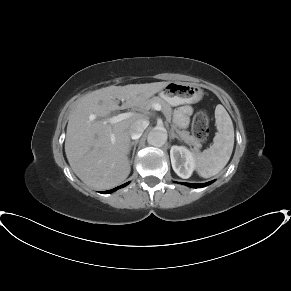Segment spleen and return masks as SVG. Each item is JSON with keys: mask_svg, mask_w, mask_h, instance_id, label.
<instances>
[{"mask_svg": "<svg viewBox=\"0 0 291 291\" xmlns=\"http://www.w3.org/2000/svg\"><path fill=\"white\" fill-rule=\"evenodd\" d=\"M217 134L213 145L203 152L195 150L196 169L203 178L218 174L228 163L234 146V127L225 108L218 104L215 109Z\"/></svg>", "mask_w": 291, "mask_h": 291, "instance_id": "1", "label": "spleen"}]
</instances>
